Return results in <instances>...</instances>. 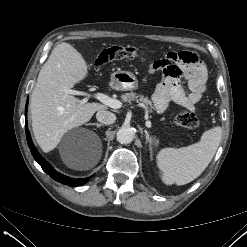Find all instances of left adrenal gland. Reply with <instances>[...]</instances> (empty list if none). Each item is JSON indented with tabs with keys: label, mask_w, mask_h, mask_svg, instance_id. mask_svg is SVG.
I'll return each mask as SVG.
<instances>
[{
	"label": "left adrenal gland",
	"mask_w": 247,
	"mask_h": 247,
	"mask_svg": "<svg viewBox=\"0 0 247 247\" xmlns=\"http://www.w3.org/2000/svg\"><path fill=\"white\" fill-rule=\"evenodd\" d=\"M145 138H146V144L149 145L150 157H152V144L154 143L155 137L150 136L149 133L145 131Z\"/></svg>",
	"instance_id": "left-adrenal-gland-1"
}]
</instances>
